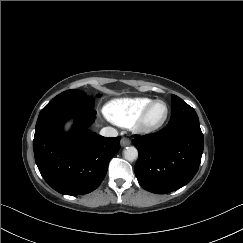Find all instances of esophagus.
I'll use <instances>...</instances> for the list:
<instances>
[{
  "label": "esophagus",
  "instance_id": "esophagus-1",
  "mask_svg": "<svg viewBox=\"0 0 243 243\" xmlns=\"http://www.w3.org/2000/svg\"><path fill=\"white\" fill-rule=\"evenodd\" d=\"M120 144H121L122 147H125V146L130 145L131 144V141L128 138L123 137L121 139V141H120Z\"/></svg>",
  "mask_w": 243,
  "mask_h": 243
}]
</instances>
